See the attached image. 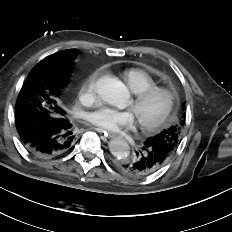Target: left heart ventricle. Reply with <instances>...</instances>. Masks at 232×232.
I'll return each mask as SVG.
<instances>
[{
	"instance_id": "left-heart-ventricle-1",
	"label": "left heart ventricle",
	"mask_w": 232,
	"mask_h": 232,
	"mask_svg": "<svg viewBox=\"0 0 232 232\" xmlns=\"http://www.w3.org/2000/svg\"><path fill=\"white\" fill-rule=\"evenodd\" d=\"M166 104V98L164 95L158 94L150 97L145 102L137 107H132V102L130 104V109L134 114L135 118L142 121H152L157 118L164 110Z\"/></svg>"
}]
</instances>
